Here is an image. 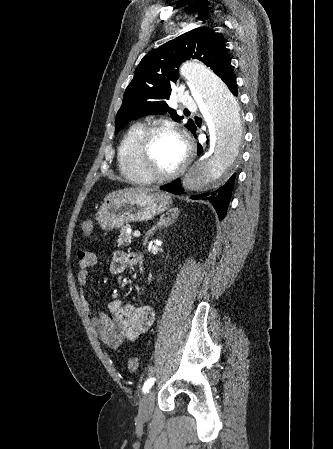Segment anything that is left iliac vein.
<instances>
[{"mask_svg": "<svg viewBox=\"0 0 333 449\" xmlns=\"http://www.w3.org/2000/svg\"><path fill=\"white\" fill-rule=\"evenodd\" d=\"M154 399H155L154 390H150V392H148L146 396L142 399L138 414L140 420L142 421L150 420L154 411Z\"/></svg>", "mask_w": 333, "mask_h": 449, "instance_id": "4c4485c4", "label": "left iliac vein"}]
</instances>
